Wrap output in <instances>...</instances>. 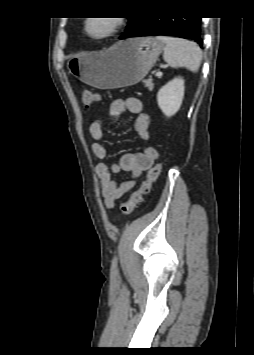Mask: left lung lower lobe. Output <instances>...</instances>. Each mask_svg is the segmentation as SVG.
<instances>
[{"label":"left lung lower lobe","instance_id":"1","mask_svg":"<svg viewBox=\"0 0 254 355\" xmlns=\"http://www.w3.org/2000/svg\"><path fill=\"white\" fill-rule=\"evenodd\" d=\"M201 17H138L121 39L138 36L168 35L190 39L202 47Z\"/></svg>","mask_w":254,"mask_h":355}]
</instances>
